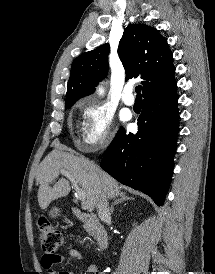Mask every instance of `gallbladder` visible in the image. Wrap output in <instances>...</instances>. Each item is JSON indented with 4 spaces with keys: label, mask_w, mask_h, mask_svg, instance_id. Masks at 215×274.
Returning a JSON list of instances; mask_svg holds the SVG:
<instances>
[{
    "label": "gallbladder",
    "mask_w": 215,
    "mask_h": 274,
    "mask_svg": "<svg viewBox=\"0 0 215 274\" xmlns=\"http://www.w3.org/2000/svg\"><path fill=\"white\" fill-rule=\"evenodd\" d=\"M59 213H60V209L54 207L50 210L49 215L51 217H57L59 215Z\"/></svg>",
    "instance_id": "1"
}]
</instances>
